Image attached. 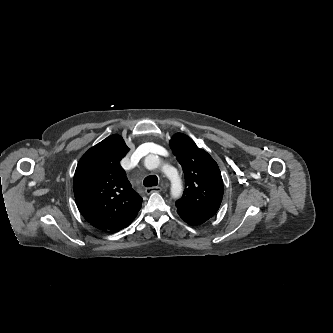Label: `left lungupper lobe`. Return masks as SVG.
Wrapping results in <instances>:
<instances>
[{
	"label": "left lung upper lobe",
	"instance_id": "obj_1",
	"mask_svg": "<svg viewBox=\"0 0 333 333\" xmlns=\"http://www.w3.org/2000/svg\"><path fill=\"white\" fill-rule=\"evenodd\" d=\"M170 147L185 176L183 196L175 203L177 209L211 218L223 197V180L217 163L185 134H175Z\"/></svg>",
	"mask_w": 333,
	"mask_h": 333
}]
</instances>
